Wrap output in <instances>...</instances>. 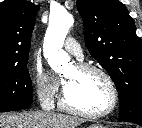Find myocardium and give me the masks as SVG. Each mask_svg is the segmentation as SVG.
Wrapping results in <instances>:
<instances>
[{
    "label": "myocardium",
    "mask_w": 142,
    "mask_h": 128,
    "mask_svg": "<svg viewBox=\"0 0 142 128\" xmlns=\"http://www.w3.org/2000/svg\"><path fill=\"white\" fill-rule=\"evenodd\" d=\"M75 67L82 72L99 73L100 75H102L105 78V80L107 81V83L110 87V90H111V95H112L111 104L106 110H104L102 112L83 111L81 109H78V108L72 106L67 101L66 90L64 87L62 90V95H61L60 101H59L60 107L71 114L78 115V116L85 117V118H90V119L103 118V117L110 115L116 109L118 102H119L118 89H117V86H116L115 81L113 80L112 76L104 68H102L98 65H94V64L78 63V64H76Z\"/></svg>",
    "instance_id": "f54148a6"
}]
</instances>
